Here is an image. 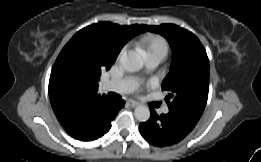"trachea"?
<instances>
[{
	"mask_svg": "<svg viewBox=\"0 0 261 162\" xmlns=\"http://www.w3.org/2000/svg\"><path fill=\"white\" fill-rule=\"evenodd\" d=\"M108 96L112 99H115V100H118L119 99V96L117 94H114V93H109Z\"/></svg>",
	"mask_w": 261,
	"mask_h": 162,
	"instance_id": "1",
	"label": "trachea"
}]
</instances>
